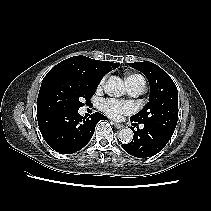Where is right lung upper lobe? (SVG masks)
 Wrapping results in <instances>:
<instances>
[{"label": "right lung upper lobe", "mask_w": 211, "mask_h": 211, "mask_svg": "<svg viewBox=\"0 0 211 211\" xmlns=\"http://www.w3.org/2000/svg\"><path fill=\"white\" fill-rule=\"evenodd\" d=\"M118 66V63L94 60L85 56H74L60 62L49 72H66L79 76L88 83L99 84L100 79L106 73Z\"/></svg>", "instance_id": "cb5924a9"}]
</instances>
